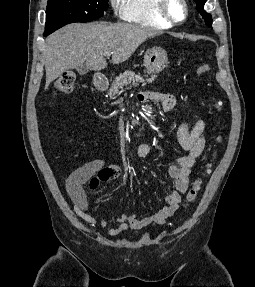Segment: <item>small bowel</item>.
<instances>
[{
    "label": "small bowel",
    "instance_id": "1",
    "mask_svg": "<svg viewBox=\"0 0 255 287\" xmlns=\"http://www.w3.org/2000/svg\"><path fill=\"white\" fill-rule=\"evenodd\" d=\"M152 99L157 100L166 111L172 110L176 105V98L167 93H151ZM180 145L187 150V154L180 157L176 163L169 167V175L173 179L172 190L165 197V205L153 215L138 218L134 214L123 213L116 219V225L111 226L105 219H99V223L107 229L110 236H119L128 229H141L150 224H163L179 209L182 195L189 187V176L196 159L205 148L204 124L196 120L192 124L183 122L177 132ZM153 146L142 143L137 146L135 155L144 159L151 155ZM121 169L116 165H106L102 160H92L77 168L66 181V190L74 205L75 213L92 226L97 225V220L89 213L88 201L84 191V185L89 184L90 189H95L102 182H109L119 178Z\"/></svg>",
    "mask_w": 255,
    "mask_h": 287
}]
</instances>
